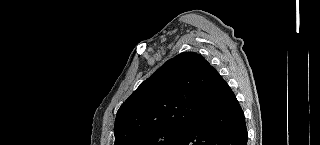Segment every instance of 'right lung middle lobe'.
I'll return each mask as SVG.
<instances>
[{"label": "right lung middle lobe", "mask_w": 320, "mask_h": 145, "mask_svg": "<svg viewBox=\"0 0 320 145\" xmlns=\"http://www.w3.org/2000/svg\"><path fill=\"white\" fill-rule=\"evenodd\" d=\"M185 128H170L152 132L136 140L131 145H171Z\"/></svg>", "instance_id": "right-lung-middle-lobe-1"}]
</instances>
